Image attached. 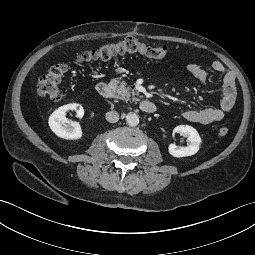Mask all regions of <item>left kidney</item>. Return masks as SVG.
I'll list each match as a JSON object with an SVG mask.
<instances>
[{"instance_id": "5707ae66", "label": "left kidney", "mask_w": 255, "mask_h": 255, "mask_svg": "<svg viewBox=\"0 0 255 255\" xmlns=\"http://www.w3.org/2000/svg\"><path fill=\"white\" fill-rule=\"evenodd\" d=\"M173 132L180 133L184 137H187L189 145L178 147L175 144L169 145V153L174 157H186L196 154L199 151L202 143L199 133L195 128L189 125L176 126Z\"/></svg>"}]
</instances>
